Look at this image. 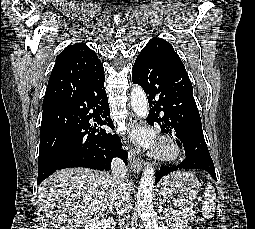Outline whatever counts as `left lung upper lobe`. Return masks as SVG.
I'll list each match as a JSON object with an SVG mask.
<instances>
[{
    "label": "left lung upper lobe",
    "mask_w": 255,
    "mask_h": 229,
    "mask_svg": "<svg viewBox=\"0 0 255 229\" xmlns=\"http://www.w3.org/2000/svg\"><path fill=\"white\" fill-rule=\"evenodd\" d=\"M159 58H172L183 64L172 45L162 38L151 39L137 57V59L146 61Z\"/></svg>",
    "instance_id": "1"
}]
</instances>
